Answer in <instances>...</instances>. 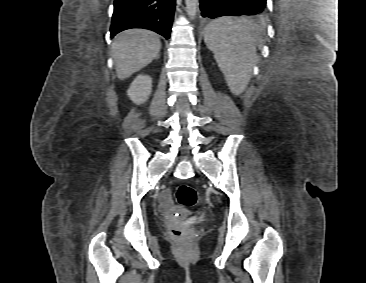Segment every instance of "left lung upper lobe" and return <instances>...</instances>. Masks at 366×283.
I'll use <instances>...</instances> for the list:
<instances>
[{"label":"left lung upper lobe","mask_w":366,"mask_h":283,"mask_svg":"<svg viewBox=\"0 0 366 283\" xmlns=\"http://www.w3.org/2000/svg\"><path fill=\"white\" fill-rule=\"evenodd\" d=\"M265 13H262V14H259V15H256L255 18H262L264 16Z\"/></svg>","instance_id":"1"}]
</instances>
